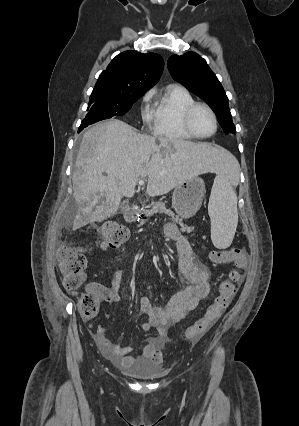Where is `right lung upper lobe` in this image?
I'll list each match as a JSON object with an SVG mask.
<instances>
[{
    "instance_id": "cb5924a9",
    "label": "right lung upper lobe",
    "mask_w": 299,
    "mask_h": 426,
    "mask_svg": "<svg viewBox=\"0 0 299 426\" xmlns=\"http://www.w3.org/2000/svg\"><path fill=\"white\" fill-rule=\"evenodd\" d=\"M163 68L164 61L158 54L125 51L101 73L95 87L129 94L146 92L158 82Z\"/></svg>"
}]
</instances>
